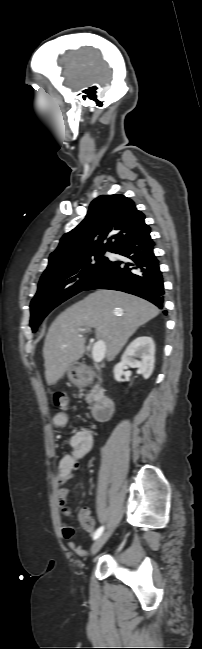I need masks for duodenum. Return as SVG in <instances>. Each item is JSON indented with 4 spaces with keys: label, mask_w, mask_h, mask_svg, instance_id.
Masks as SVG:
<instances>
[{
    "label": "duodenum",
    "mask_w": 202,
    "mask_h": 649,
    "mask_svg": "<svg viewBox=\"0 0 202 649\" xmlns=\"http://www.w3.org/2000/svg\"><path fill=\"white\" fill-rule=\"evenodd\" d=\"M83 375H91L88 368H84ZM114 412V403L109 397L100 399L93 407L92 413L97 420L107 421L111 418Z\"/></svg>",
    "instance_id": "duodenum-1"
}]
</instances>
